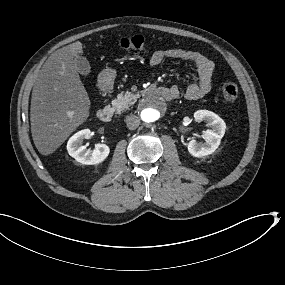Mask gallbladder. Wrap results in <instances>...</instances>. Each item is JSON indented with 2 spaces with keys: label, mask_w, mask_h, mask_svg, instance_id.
<instances>
[{
  "label": "gallbladder",
  "mask_w": 285,
  "mask_h": 285,
  "mask_svg": "<svg viewBox=\"0 0 285 285\" xmlns=\"http://www.w3.org/2000/svg\"><path fill=\"white\" fill-rule=\"evenodd\" d=\"M75 65L77 71L81 75H88L90 73L91 67L89 61L85 57L78 56L77 58H75Z\"/></svg>",
  "instance_id": "1"
}]
</instances>
